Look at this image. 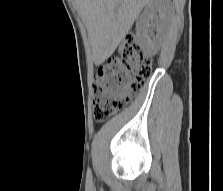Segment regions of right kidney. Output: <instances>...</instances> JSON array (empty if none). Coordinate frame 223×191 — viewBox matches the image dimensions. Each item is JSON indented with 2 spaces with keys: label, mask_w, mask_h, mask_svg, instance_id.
Returning <instances> with one entry per match:
<instances>
[{
  "label": "right kidney",
  "mask_w": 223,
  "mask_h": 191,
  "mask_svg": "<svg viewBox=\"0 0 223 191\" xmlns=\"http://www.w3.org/2000/svg\"><path fill=\"white\" fill-rule=\"evenodd\" d=\"M168 7V0H152L136 22L137 43L148 55H155L159 49Z\"/></svg>",
  "instance_id": "1"
}]
</instances>
